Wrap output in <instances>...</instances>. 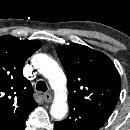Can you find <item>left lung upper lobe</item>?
I'll list each match as a JSON object with an SVG mask.
<instances>
[{"mask_svg": "<svg viewBox=\"0 0 130 130\" xmlns=\"http://www.w3.org/2000/svg\"><path fill=\"white\" fill-rule=\"evenodd\" d=\"M57 55L67 76L69 106H85L109 117L121 89L119 73L111 59L80 44L61 45Z\"/></svg>", "mask_w": 130, "mask_h": 130, "instance_id": "5c2ea615", "label": "left lung upper lobe"}]
</instances>
